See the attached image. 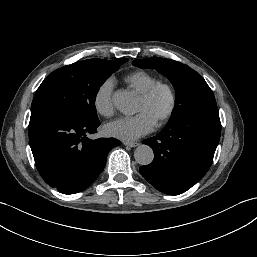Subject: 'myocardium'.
I'll return each mask as SVG.
<instances>
[{"label":"myocardium","instance_id":"1","mask_svg":"<svg viewBox=\"0 0 257 257\" xmlns=\"http://www.w3.org/2000/svg\"><path fill=\"white\" fill-rule=\"evenodd\" d=\"M164 91L167 93L169 98V105L166 112L163 116L157 121L158 126H162L166 124L174 115L176 108H177V95L173 86L167 82H156L150 88H148L145 92L139 95V99L144 102H148L152 100L155 95L160 92Z\"/></svg>","mask_w":257,"mask_h":257}]
</instances>
